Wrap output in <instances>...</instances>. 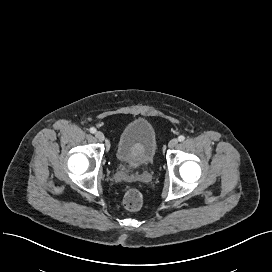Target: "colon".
I'll use <instances>...</instances> for the list:
<instances>
[{
    "mask_svg": "<svg viewBox=\"0 0 272 272\" xmlns=\"http://www.w3.org/2000/svg\"><path fill=\"white\" fill-rule=\"evenodd\" d=\"M143 203L142 193L135 188L129 189L123 198V204L126 209L136 211L141 208Z\"/></svg>",
    "mask_w": 272,
    "mask_h": 272,
    "instance_id": "5ec220e1",
    "label": "colon"
}]
</instances>
